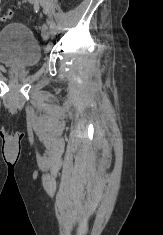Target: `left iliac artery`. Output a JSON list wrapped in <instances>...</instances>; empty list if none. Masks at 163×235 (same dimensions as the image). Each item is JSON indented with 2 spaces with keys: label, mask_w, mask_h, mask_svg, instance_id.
<instances>
[{
  "label": "left iliac artery",
  "mask_w": 163,
  "mask_h": 235,
  "mask_svg": "<svg viewBox=\"0 0 163 235\" xmlns=\"http://www.w3.org/2000/svg\"><path fill=\"white\" fill-rule=\"evenodd\" d=\"M39 1L41 2V5H42L45 13L48 15V24H49L50 28L52 30L56 29V24L50 14V10H49V7H48L46 0H39Z\"/></svg>",
  "instance_id": "44dca946"
}]
</instances>
